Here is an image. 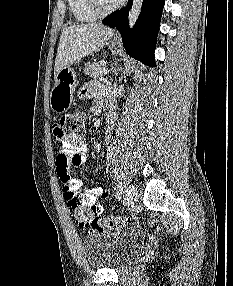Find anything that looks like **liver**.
Masks as SVG:
<instances>
[{
    "label": "liver",
    "instance_id": "6515ba94",
    "mask_svg": "<svg viewBox=\"0 0 233 286\" xmlns=\"http://www.w3.org/2000/svg\"><path fill=\"white\" fill-rule=\"evenodd\" d=\"M114 31L101 23L69 26L63 29L57 50L54 74L82 57L99 51Z\"/></svg>",
    "mask_w": 233,
    "mask_h": 286
}]
</instances>
